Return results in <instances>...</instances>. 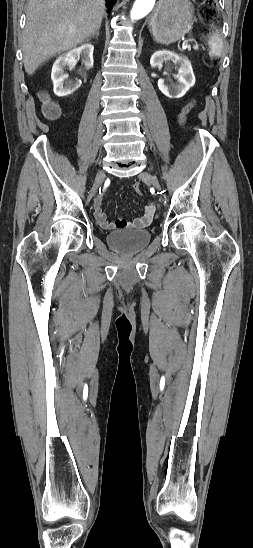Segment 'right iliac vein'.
I'll list each match as a JSON object with an SVG mask.
<instances>
[{
    "instance_id": "1",
    "label": "right iliac vein",
    "mask_w": 253,
    "mask_h": 548,
    "mask_svg": "<svg viewBox=\"0 0 253 548\" xmlns=\"http://www.w3.org/2000/svg\"><path fill=\"white\" fill-rule=\"evenodd\" d=\"M103 178H104V173L100 170L98 171L96 177H95V181H94V184H93V187L90 191V194H89V197L92 198L97 190V188L100 186V184L102 183L103 181Z\"/></svg>"
}]
</instances>
